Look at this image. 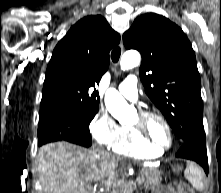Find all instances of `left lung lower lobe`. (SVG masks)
<instances>
[{
  "label": "left lung lower lobe",
  "mask_w": 221,
  "mask_h": 193,
  "mask_svg": "<svg viewBox=\"0 0 221 193\" xmlns=\"http://www.w3.org/2000/svg\"><path fill=\"white\" fill-rule=\"evenodd\" d=\"M205 139V133L197 134L186 139L183 141L176 156L197 162L203 167L205 173L208 174V158Z\"/></svg>",
  "instance_id": "1"
}]
</instances>
